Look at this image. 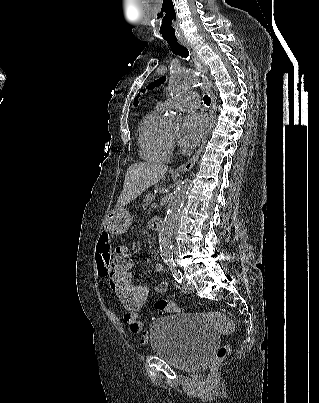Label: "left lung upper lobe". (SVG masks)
<instances>
[{
    "label": "left lung upper lobe",
    "instance_id": "obj_1",
    "mask_svg": "<svg viewBox=\"0 0 319 403\" xmlns=\"http://www.w3.org/2000/svg\"><path fill=\"white\" fill-rule=\"evenodd\" d=\"M165 80H166V77H161L160 79H158V80H156V81L150 83L146 88H147L148 90H151V89H153V88L159 86L160 84L164 83ZM144 91H145V90H142L143 93H144Z\"/></svg>",
    "mask_w": 319,
    "mask_h": 403
}]
</instances>
